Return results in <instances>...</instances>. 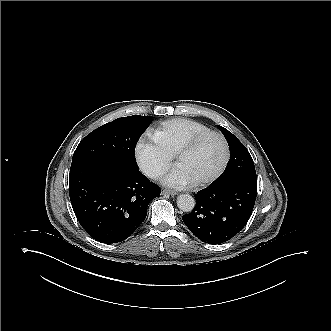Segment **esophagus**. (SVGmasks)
I'll list each match as a JSON object with an SVG mask.
<instances>
[{
  "instance_id": "esophagus-1",
  "label": "esophagus",
  "mask_w": 331,
  "mask_h": 331,
  "mask_svg": "<svg viewBox=\"0 0 331 331\" xmlns=\"http://www.w3.org/2000/svg\"><path fill=\"white\" fill-rule=\"evenodd\" d=\"M161 194H163V195H164V194H168V195H172V196H174V195H177L178 192L173 191V190H167V189H164V190H162Z\"/></svg>"
}]
</instances>
